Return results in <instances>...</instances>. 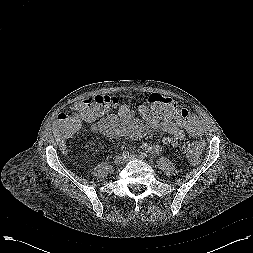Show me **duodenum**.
I'll list each match as a JSON object with an SVG mask.
<instances>
[{"label": "duodenum", "mask_w": 253, "mask_h": 253, "mask_svg": "<svg viewBox=\"0 0 253 253\" xmlns=\"http://www.w3.org/2000/svg\"><path fill=\"white\" fill-rule=\"evenodd\" d=\"M116 127V124L115 123H112V122H104L102 124V126H99L98 127V131L97 132H102V131H111L112 129H114Z\"/></svg>", "instance_id": "obj_1"}]
</instances>
